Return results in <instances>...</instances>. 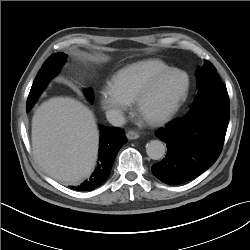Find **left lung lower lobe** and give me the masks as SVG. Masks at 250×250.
<instances>
[{"label":"left lung lower lobe","mask_w":250,"mask_h":250,"mask_svg":"<svg viewBox=\"0 0 250 250\" xmlns=\"http://www.w3.org/2000/svg\"><path fill=\"white\" fill-rule=\"evenodd\" d=\"M229 97L224 84L201 92L190 110L167 124L156 136L166 156L152 166L162 182L181 184L206 171L219 157L229 123Z\"/></svg>","instance_id":"obj_1"}]
</instances>
